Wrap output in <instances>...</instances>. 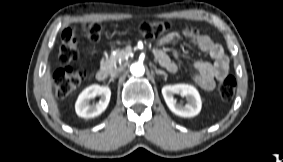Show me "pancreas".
Here are the masks:
<instances>
[{"instance_id":"pancreas-1","label":"pancreas","mask_w":283,"mask_h":162,"mask_svg":"<svg viewBox=\"0 0 283 162\" xmlns=\"http://www.w3.org/2000/svg\"><path fill=\"white\" fill-rule=\"evenodd\" d=\"M128 54L126 50H116L115 54H111L105 60H103V65L107 68L108 71H113L119 61H123L125 56Z\"/></svg>"}]
</instances>
